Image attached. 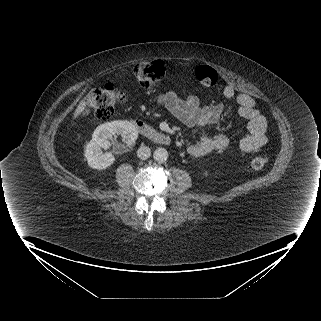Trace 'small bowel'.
<instances>
[{
	"label": "small bowel",
	"mask_w": 321,
	"mask_h": 321,
	"mask_svg": "<svg viewBox=\"0 0 321 321\" xmlns=\"http://www.w3.org/2000/svg\"><path fill=\"white\" fill-rule=\"evenodd\" d=\"M224 96L238 104L239 116L247 122L249 134L239 142L244 153H255L267 143V121L256 107L255 100L248 94L236 93L233 87H226ZM158 103L166 107L181 123L200 130L199 141L188 145L187 151L194 157H202L213 151L222 152L229 144L223 134H209L207 127L217 124L223 113V105L201 106L197 97L189 95L183 99L173 92L158 97Z\"/></svg>",
	"instance_id": "1"
}]
</instances>
